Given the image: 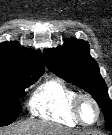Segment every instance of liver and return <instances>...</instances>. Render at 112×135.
I'll use <instances>...</instances> for the list:
<instances>
[{
  "label": "liver",
  "mask_w": 112,
  "mask_h": 135,
  "mask_svg": "<svg viewBox=\"0 0 112 135\" xmlns=\"http://www.w3.org/2000/svg\"><path fill=\"white\" fill-rule=\"evenodd\" d=\"M0 135H71V132L48 122L27 120L15 126L11 131H0Z\"/></svg>",
  "instance_id": "1"
}]
</instances>
